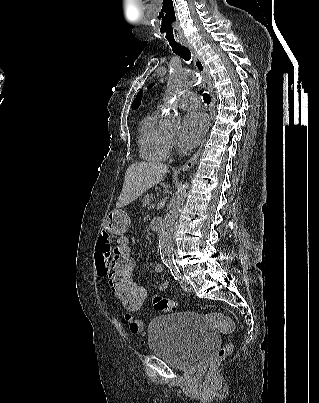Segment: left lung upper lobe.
<instances>
[{
    "instance_id": "left-lung-upper-lobe-1",
    "label": "left lung upper lobe",
    "mask_w": 319,
    "mask_h": 403,
    "mask_svg": "<svg viewBox=\"0 0 319 403\" xmlns=\"http://www.w3.org/2000/svg\"><path fill=\"white\" fill-rule=\"evenodd\" d=\"M153 86H154V83L150 84V85L148 86V88H151V87H153Z\"/></svg>"
}]
</instances>
